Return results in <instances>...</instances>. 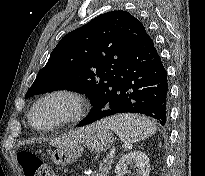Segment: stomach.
I'll list each match as a JSON object with an SVG mask.
<instances>
[{
	"label": "stomach",
	"mask_w": 205,
	"mask_h": 176,
	"mask_svg": "<svg viewBox=\"0 0 205 176\" xmlns=\"http://www.w3.org/2000/svg\"><path fill=\"white\" fill-rule=\"evenodd\" d=\"M89 127V135L83 143L68 148H57L52 152L51 159L56 165L67 166L72 164L85 149L102 152L111 147L114 136L110 128L97 123Z\"/></svg>",
	"instance_id": "0dacf381"
}]
</instances>
